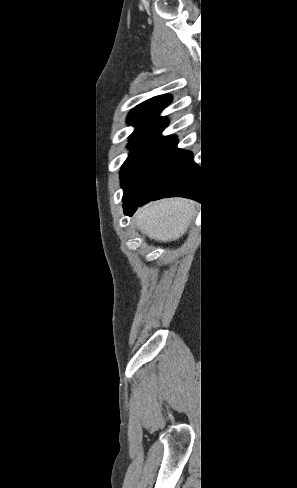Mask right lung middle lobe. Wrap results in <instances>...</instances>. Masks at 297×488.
Listing matches in <instances>:
<instances>
[{
  "instance_id": "1",
  "label": "right lung middle lobe",
  "mask_w": 297,
  "mask_h": 488,
  "mask_svg": "<svg viewBox=\"0 0 297 488\" xmlns=\"http://www.w3.org/2000/svg\"><path fill=\"white\" fill-rule=\"evenodd\" d=\"M173 136H160V133H136L130 136L129 148H133L123 164L120 177L127 197L154 160L168 147Z\"/></svg>"
}]
</instances>
